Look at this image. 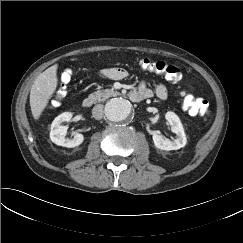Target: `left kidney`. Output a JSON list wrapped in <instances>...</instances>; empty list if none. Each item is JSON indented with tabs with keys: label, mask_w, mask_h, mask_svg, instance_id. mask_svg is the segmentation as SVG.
<instances>
[{
	"label": "left kidney",
	"mask_w": 243,
	"mask_h": 243,
	"mask_svg": "<svg viewBox=\"0 0 243 243\" xmlns=\"http://www.w3.org/2000/svg\"><path fill=\"white\" fill-rule=\"evenodd\" d=\"M165 118L171 126V131L176 134L177 138L172 141L167 138L164 139L160 133L154 131L152 134L154 145L161 150L167 151L184 147L187 139L179 117L174 112H167Z\"/></svg>",
	"instance_id": "5707ae66"
}]
</instances>
